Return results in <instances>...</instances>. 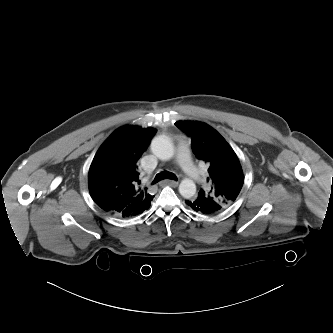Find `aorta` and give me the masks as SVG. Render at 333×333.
Returning <instances> with one entry per match:
<instances>
[{"label":"aorta","instance_id":"1","mask_svg":"<svg viewBox=\"0 0 333 333\" xmlns=\"http://www.w3.org/2000/svg\"><path fill=\"white\" fill-rule=\"evenodd\" d=\"M151 150L161 160H169L174 156V146L170 139L164 135L155 137L151 142ZM180 194L189 199L196 193V185L193 180L185 178L179 185Z\"/></svg>","mask_w":333,"mask_h":333}]
</instances>
